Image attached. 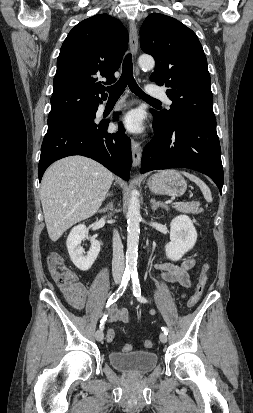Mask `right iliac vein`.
<instances>
[{"label":"right iliac vein","mask_w":253,"mask_h":413,"mask_svg":"<svg viewBox=\"0 0 253 413\" xmlns=\"http://www.w3.org/2000/svg\"><path fill=\"white\" fill-rule=\"evenodd\" d=\"M118 283L119 282L116 281V284H118ZM95 338H96L97 341H102L103 338H104L103 331L102 330H97L96 333H95Z\"/></svg>","instance_id":"obj_1"}]
</instances>
